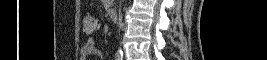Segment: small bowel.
Returning <instances> with one entry per match:
<instances>
[{
    "label": "small bowel",
    "instance_id": "obj_1",
    "mask_svg": "<svg viewBox=\"0 0 267 60\" xmlns=\"http://www.w3.org/2000/svg\"><path fill=\"white\" fill-rule=\"evenodd\" d=\"M83 52L86 54V55H96V56H101L102 53L101 51L95 47V43H94V40L93 39H88L86 41V43L84 44L83 46Z\"/></svg>",
    "mask_w": 267,
    "mask_h": 60
}]
</instances>
